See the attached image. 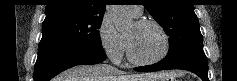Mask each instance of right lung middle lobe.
I'll return each instance as SVG.
<instances>
[{
    "instance_id": "obj_1",
    "label": "right lung middle lobe",
    "mask_w": 237,
    "mask_h": 81,
    "mask_svg": "<svg viewBox=\"0 0 237 81\" xmlns=\"http://www.w3.org/2000/svg\"><path fill=\"white\" fill-rule=\"evenodd\" d=\"M103 17L63 15L44 20L40 43L101 47L98 29Z\"/></svg>"
}]
</instances>
